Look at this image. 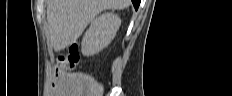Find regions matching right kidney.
<instances>
[{
    "label": "right kidney",
    "instance_id": "obj_1",
    "mask_svg": "<svg viewBox=\"0 0 232 96\" xmlns=\"http://www.w3.org/2000/svg\"><path fill=\"white\" fill-rule=\"evenodd\" d=\"M121 19L114 13L96 17L82 39V54L92 56L104 49L115 37Z\"/></svg>",
    "mask_w": 232,
    "mask_h": 96
}]
</instances>
